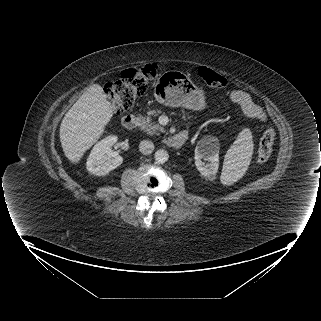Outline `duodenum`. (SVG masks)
<instances>
[{"mask_svg": "<svg viewBox=\"0 0 321 321\" xmlns=\"http://www.w3.org/2000/svg\"><path fill=\"white\" fill-rule=\"evenodd\" d=\"M138 123L137 117L132 114H127L122 118V125L127 130H133ZM186 142V136L183 134L171 135L165 138V143L171 148H179Z\"/></svg>", "mask_w": 321, "mask_h": 321, "instance_id": "410a0bca", "label": "duodenum"}]
</instances>
